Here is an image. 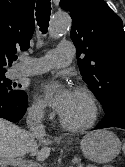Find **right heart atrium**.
<instances>
[{"mask_svg": "<svg viewBox=\"0 0 125 167\" xmlns=\"http://www.w3.org/2000/svg\"><path fill=\"white\" fill-rule=\"evenodd\" d=\"M28 112L32 118L39 121L49 119L50 117V114L48 113L44 104L37 98L33 99L28 108Z\"/></svg>", "mask_w": 125, "mask_h": 167, "instance_id": "right-heart-atrium-1", "label": "right heart atrium"}]
</instances>
